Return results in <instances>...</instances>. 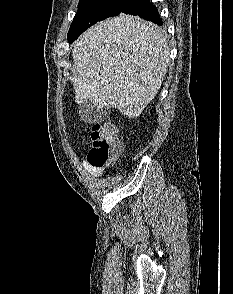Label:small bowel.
<instances>
[{"label":"small bowel","mask_w":233,"mask_h":294,"mask_svg":"<svg viewBox=\"0 0 233 294\" xmlns=\"http://www.w3.org/2000/svg\"><path fill=\"white\" fill-rule=\"evenodd\" d=\"M89 171L94 174V175H98L99 174V169L98 168H94L92 166H89Z\"/></svg>","instance_id":"1"}]
</instances>
